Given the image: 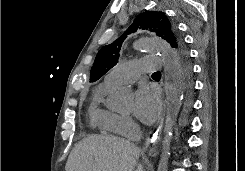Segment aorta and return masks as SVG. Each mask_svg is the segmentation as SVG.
Returning a JSON list of instances; mask_svg holds the SVG:
<instances>
[{
	"label": "aorta",
	"instance_id": "obj_1",
	"mask_svg": "<svg viewBox=\"0 0 245 171\" xmlns=\"http://www.w3.org/2000/svg\"><path fill=\"white\" fill-rule=\"evenodd\" d=\"M134 48L142 52H155L162 58L167 94V116L164 125V139L157 171H168L170 144L172 141L174 118L179 111L183 97V86L176 67V55L172 47L164 40L155 37H143L134 43ZM132 93L125 88L112 91L107 106L116 111H128L132 104Z\"/></svg>",
	"mask_w": 245,
	"mask_h": 171
}]
</instances>
